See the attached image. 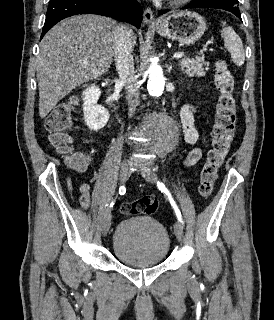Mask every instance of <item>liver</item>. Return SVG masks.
<instances>
[{
  "instance_id": "6515ba94",
  "label": "liver",
  "mask_w": 274,
  "mask_h": 320,
  "mask_svg": "<svg viewBox=\"0 0 274 320\" xmlns=\"http://www.w3.org/2000/svg\"><path fill=\"white\" fill-rule=\"evenodd\" d=\"M115 26L111 18L83 14L47 32L36 60L40 118L72 90L108 72L115 54Z\"/></svg>"
}]
</instances>
